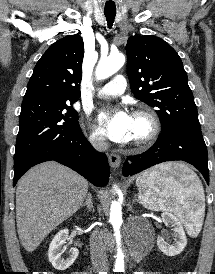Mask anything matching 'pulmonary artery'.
Returning a JSON list of instances; mask_svg holds the SVG:
<instances>
[{"label": "pulmonary artery", "mask_w": 215, "mask_h": 274, "mask_svg": "<svg viewBox=\"0 0 215 274\" xmlns=\"http://www.w3.org/2000/svg\"><path fill=\"white\" fill-rule=\"evenodd\" d=\"M126 89V79L122 75H116L110 82L105 84L100 90L101 96H118Z\"/></svg>", "instance_id": "1"}]
</instances>
